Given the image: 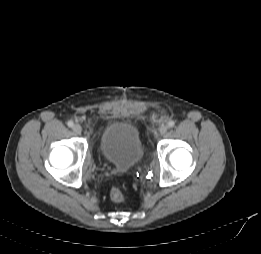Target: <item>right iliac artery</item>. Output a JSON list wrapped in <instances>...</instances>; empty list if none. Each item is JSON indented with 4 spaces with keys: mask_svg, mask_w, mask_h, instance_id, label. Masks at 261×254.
I'll return each mask as SVG.
<instances>
[{
    "mask_svg": "<svg viewBox=\"0 0 261 254\" xmlns=\"http://www.w3.org/2000/svg\"><path fill=\"white\" fill-rule=\"evenodd\" d=\"M67 125H68L69 127H73V122H72V121H68V122H67Z\"/></svg>",
    "mask_w": 261,
    "mask_h": 254,
    "instance_id": "right-iliac-artery-1",
    "label": "right iliac artery"
}]
</instances>
